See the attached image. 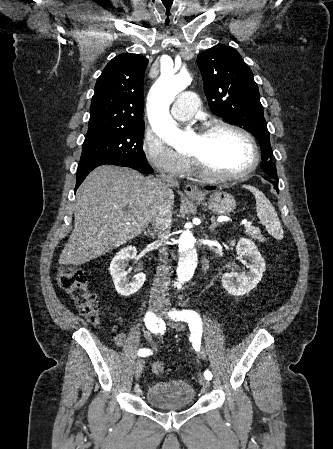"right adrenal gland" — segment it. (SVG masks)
<instances>
[{
    "instance_id": "obj_1",
    "label": "right adrenal gland",
    "mask_w": 333,
    "mask_h": 449,
    "mask_svg": "<svg viewBox=\"0 0 333 449\" xmlns=\"http://www.w3.org/2000/svg\"><path fill=\"white\" fill-rule=\"evenodd\" d=\"M148 234L153 235L154 233L150 230H148Z\"/></svg>"
}]
</instances>
